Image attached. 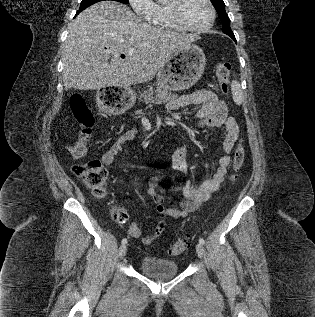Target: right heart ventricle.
I'll use <instances>...</instances> for the list:
<instances>
[{"label":"right heart ventricle","mask_w":315,"mask_h":317,"mask_svg":"<svg viewBox=\"0 0 315 317\" xmlns=\"http://www.w3.org/2000/svg\"><path fill=\"white\" fill-rule=\"evenodd\" d=\"M166 5L167 4H155L154 12L149 22L157 28L176 29L177 27L170 20Z\"/></svg>","instance_id":"right-heart-ventricle-1"}]
</instances>
